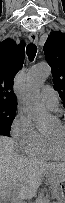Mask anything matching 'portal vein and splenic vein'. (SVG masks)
Segmentation results:
<instances>
[{"label": "portal vein and splenic vein", "mask_w": 65, "mask_h": 203, "mask_svg": "<svg viewBox=\"0 0 65 203\" xmlns=\"http://www.w3.org/2000/svg\"><path fill=\"white\" fill-rule=\"evenodd\" d=\"M18 203H25V202L20 201V202H18Z\"/></svg>", "instance_id": "portal-vein-and-splenic-vein-1"}]
</instances>
